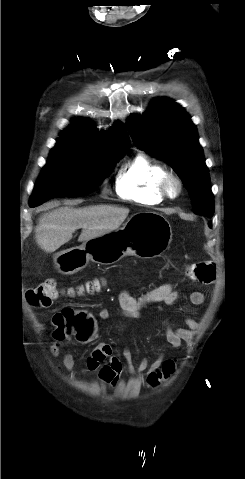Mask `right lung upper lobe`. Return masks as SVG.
Segmentation results:
<instances>
[{
    "label": "right lung upper lobe",
    "instance_id": "cb5924a9",
    "mask_svg": "<svg viewBox=\"0 0 245 479\" xmlns=\"http://www.w3.org/2000/svg\"><path fill=\"white\" fill-rule=\"evenodd\" d=\"M58 141L76 143L96 150L127 151L130 146L129 137L120 122H117L111 131L99 133L90 123L84 121L76 128L61 133Z\"/></svg>",
    "mask_w": 245,
    "mask_h": 479
}]
</instances>
